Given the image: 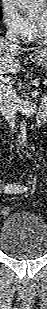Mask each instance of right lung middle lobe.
<instances>
[{
    "label": "right lung middle lobe",
    "mask_w": 47,
    "mask_h": 309,
    "mask_svg": "<svg viewBox=\"0 0 47 309\" xmlns=\"http://www.w3.org/2000/svg\"><path fill=\"white\" fill-rule=\"evenodd\" d=\"M0 20H1V12H0Z\"/></svg>",
    "instance_id": "obj_1"
}]
</instances>
